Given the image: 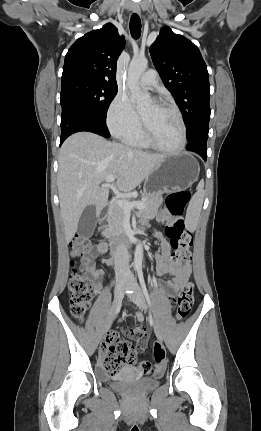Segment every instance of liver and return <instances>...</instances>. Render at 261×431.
Instances as JSON below:
<instances>
[{"label":"liver","mask_w":261,"mask_h":431,"mask_svg":"<svg viewBox=\"0 0 261 431\" xmlns=\"http://www.w3.org/2000/svg\"><path fill=\"white\" fill-rule=\"evenodd\" d=\"M165 155L131 149L89 132L70 136L59 154L57 185L66 242L78 229L79 219L88 206L101 211L109 189L100 183L109 175L117 177L123 192L136 188L163 160Z\"/></svg>","instance_id":"obj_1"}]
</instances>
